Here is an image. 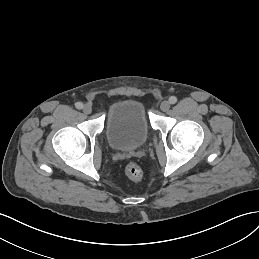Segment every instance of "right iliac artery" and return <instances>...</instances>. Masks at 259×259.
<instances>
[{
  "label": "right iliac artery",
  "mask_w": 259,
  "mask_h": 259,
  "mask_svg": "<svg viewBox=\"0 0 259 259\" xmlns=\"http://www.w3.org/2000/svg\"><path fill=\"white\" fill-rule=\"evenodd\" d=\"M75 106H76L77 109H82V108H83V103L77 102V103L75 104Z\"/></svg>",
  "instance_id": "1"
}]
</instances>
